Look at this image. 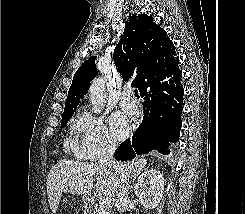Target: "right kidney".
Returning <instances> with one entry per match:
<instances>
[{
	"label": "right kidney",
	"mask_w": 245,
	"mask_h": 214,
	"mask_svg": "<svg viewBox=\"0 0 245 214\" xmlns=\"http://www.w3.org/2000/svg\"><path fill=\"white\" fill-rule=\"evenodd\" d=\"M164 191V177L159 170L151 169L142 173L134 187L141 204L147 209H154L160 203Z\"/></svg>",
	"instance_id": "right-kidney-1"
}]
</instances>
